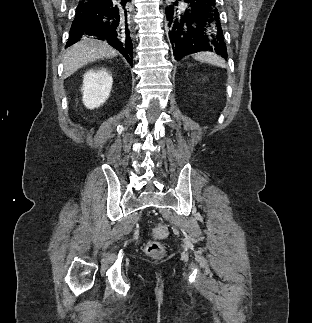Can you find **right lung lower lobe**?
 Here are the masks:
<instances>
[{
	"label": "right lung lower lobe",
	"instance_id": "98d812e1",
	"mask_svg": "<svg viewBox=\"0 0 312 323\" xmlns=\"http://www.w3.org/2000/svg\"><path fill=\"white\" fill-rule=\"evenodd\" d=\"M131 8V0H80L66 47L82 36H95L107 41L133 64Z\"/></svg>",
	"mask_w": 312,
	"mask_h": 323
}]
</instances>
